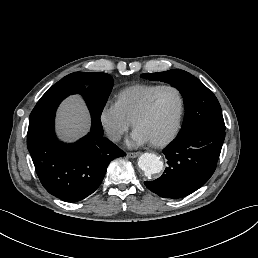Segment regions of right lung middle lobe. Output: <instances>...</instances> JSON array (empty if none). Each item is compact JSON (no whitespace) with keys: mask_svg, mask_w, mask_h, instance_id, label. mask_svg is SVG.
I'll use <instances>...</instances> for the list:
<instances>
[{"mask_svg":"<svg viewBox=\"0 0 258 258\" xmlns=\"http://www.w3.org/2000/svg\"><path fill=\"white\" fill-rule=\"evenodd\" d=\"M61 80H75L88 85H95L90 107L93 113L101 116L113 85V80L109 74L74 72L65 76Z\"/></svg>","mask_w":258,"mask_h":258,"instance_id":"1","label":"right lung middle lobe"}]
</instances>
